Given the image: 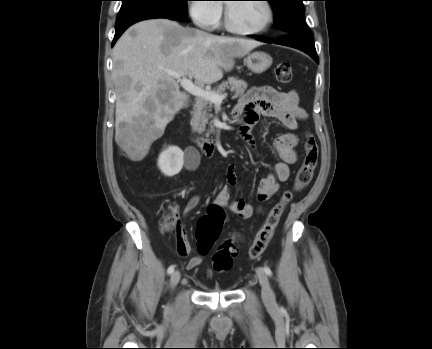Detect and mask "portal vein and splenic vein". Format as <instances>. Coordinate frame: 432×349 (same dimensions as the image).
<instances>
[{"mask_svg":"<svg viewBox=\"0 0 432 349\" xmlns=\"http://www.w3.org/2000/svg\"><path fill=\"white\" fill-rule=\"evenodd\" d=\"M166 72L171 77L177 79V81L180 83V85L186 91L191 93L192 95H195L198 97H203L207 100H210L214 104H221L223 99H225L227 97V93L217 94L213 91H208V90L203 89L200 86L195 85L192 82V76L191 75H189V78H187V77H184V75L179 74V73L172 71V70H166Z\"/></svg>","mask_w":432,"mask_h":349,"instance_id":"1","label":"portal vein and splenic vein"}]
</instances>
